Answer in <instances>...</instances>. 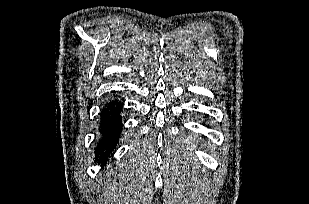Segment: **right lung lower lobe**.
Instances as JSON below:
<instances>
[{"label":"right lung lower lobe","instance_id":"right-lung-lower-lobe-1","mask_svg":"<svg viewBox=\"0 0 309 204\" xmlns=\"http://www.w3.org/2000/svg\"><path fill=\"white\" fill-rule=\"evenodd\" d=\"M122 103L115 99L106 104L100 114V139L95 149V154L103 159L113 155L121 136L122 130Z\"/></svg>","mask_w":309,"mask_h":204}]
</instances>
